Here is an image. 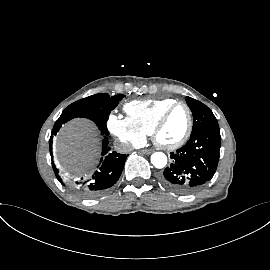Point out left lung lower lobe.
<instances>
[{
  "mask_svg": "<svg viewBox=\"0 0 270 270\" xmlns=\"http://www.w3.org/2000/svg\"><path fill=\"white\" fill-rule=\"evenodd\" d=\"M220 143L219 128H206L191 135L183 147L171 153L172 162L161 176L162 183L180 194L201 189L216 172Z\"/></svg>",
  "mask_w": 270,
  "mask_h": 270,
  "instance_id": "obj_1",
  "label": "left lung lower lobe"
}]
</instances>
